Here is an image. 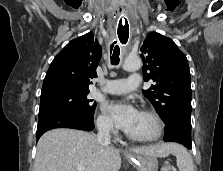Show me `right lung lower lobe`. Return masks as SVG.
<instances>
[{
    "label": "right lung lower lobe",
    "instance_id": "right-lung-lower-lobe-1",
    "mask_svg": "<svg viewBox=\"0 0 223 171\" xmlns=\"http://www.w3.org/2000/svg\"><path fill=\"white\" fill-rule=\"evenodd\" d=\"M55 128H72L85 131H92L94 128L93 119L87 118L73 111H57L39 118L36 142L46 131Z\"/></svg>",
    "mask_w": 223,
    "mask_h": 171
}]
</instances>
